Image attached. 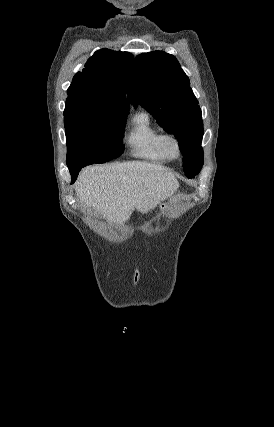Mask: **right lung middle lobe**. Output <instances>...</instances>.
<instances>
[{
  "label": "right lung middle lobe",
  "mask_w": 274,
  "mask_h": 427,
  "mask_svg": "<svg viewBox=\"0 0 274 427\" xmlns=\"http://www.w3.org/2000/svg\"><path fill=\"white\" fill-rule=\"evenodd\" d=\"M130 107L79 106L64 111L67 165L104 163L121 155L124 120Z\"/></svg>",
  "instance_id": "right-lung-middle-lobe-1"
}]
</instances>
